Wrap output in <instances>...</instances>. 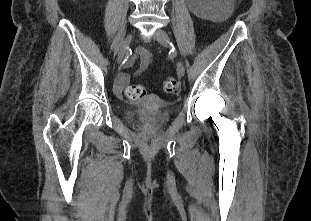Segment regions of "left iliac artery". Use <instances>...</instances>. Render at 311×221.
<instances>
[{
  "label": "left iliac artery",
  "instance_id": "left-iliac-artery-1",
  "mask_svg": "<svg viewBox=\"0 0 311 221\" xmlns=\"http://www.w3.org/2000/svg\"><path fill=\"white\" fill-rule=\"evenodd\" d=\"M171 53H172V54H176V51H175V49H174L173 46H172V49H171Z\"/></svg>",
  "mask_w": 311,
  "mask_h": 221
}]
</instances>
